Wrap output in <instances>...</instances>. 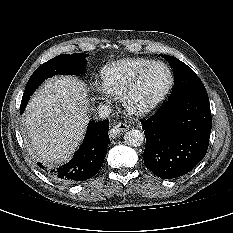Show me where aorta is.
<instances>
[{
	"label": "aorta",
	"mask_w": 233,
	"mask_h": 233,
	"mask_svg": "<svg viewBox=\"0 0 233 233\" xmlns=\"http://www.w3.org/2000/svg\"><path fill=\"white\" fill-rule=\"evenodd\" d=\"M125 143L128 146L139 147L144 142V134L137 129H130L124 135Z\"/></svg>",
	"instance_id": "1"
}]
</instances>
